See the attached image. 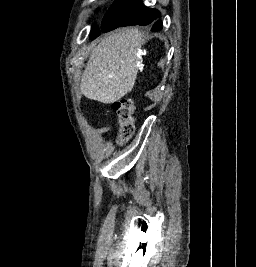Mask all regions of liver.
<instances>
[{"label":"liver","instance_id":"6515ba94","mask_svg":"<svg viewBox=\"0 0 256 267\" xmlns=\"http://www.w3.org/2000/svg\"><path fill=\"white\" fill-rule=\"evenodd\" d=\"M142 34L124 28L95 46L83 72L80 90L89 100L113 104L131 92L141 60Z\"/></svg>","mask_w":256,"mask_h":267}]
</instances>
